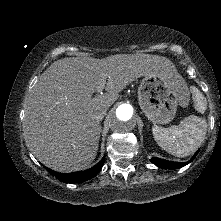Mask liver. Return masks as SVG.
<instances>
[{
    "label": "liver",
    "mask_w": 221,
    "mask_h": 221,
    "mask_svg": "<svg viewBox=\"0 0 221 221\" xmlns=\"http://www.w3.org/2000/svg\"><path fill=\"white\" fill-rule=\"evenodd\" d=\"M173 69L169 59L150 54L57 60L40 76L25 101L27 146L55 171L87 168L98 151L101 125L97 113L112 106L119 92L134 80ZM103 80L106 93L93 97Z\"/></svg>",
    "instance_id": "1"
}]
</instances>
